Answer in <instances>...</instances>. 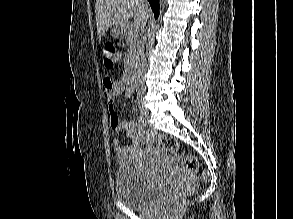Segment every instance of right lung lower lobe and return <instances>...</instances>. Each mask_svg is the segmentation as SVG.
<instances>
[{"mask_svg":"<svg viewBox=\"0 0 293 219\" xmlns=\"http://www.w3.org/2000/svg\"><path fill=\"white\" fill-rule=\"evenodd\" d=\"M154 12L155 18L159 15V0H148Z\"/></svg>","mask_w":293,"mask_h":219,"instance_id":"obj_1","label":"right lung lower lobe"}]
</instances>
